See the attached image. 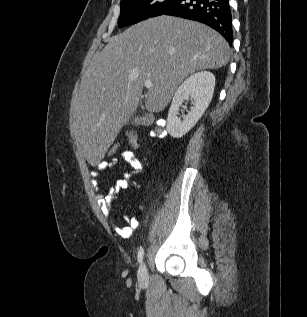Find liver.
Here are the masks:
<instances>
[{
  "mask_svg": "<svg viewBox=\"0 0 307 317\" xmlns=\"http://www.w3.org/2000/svg\"><path fill=\"white\" fill-rule=\"evenodd\" d=\"M227 41L210 27L159 16L111 37L88 65L71 101L74 134L88 162L97 165L137 109L144 82L150 112L162 111L190 74L225 66Z\"/></svg>",
  "mask_w": 307,
  "mask_h": 317,
  "instance_id": "6515ba94",
  "label": "liver"
}]
</instances>
